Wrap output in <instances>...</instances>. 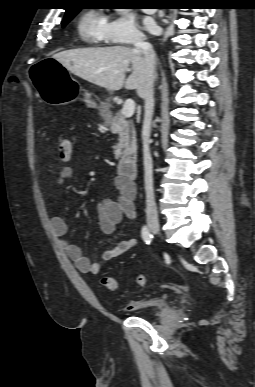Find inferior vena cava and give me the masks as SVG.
Wrapping results in <instances>:
<instances>
[{"label":"inferior vena cava","mask_w":255,"mask_h":387,"mask_svg":"<svg viewBox=\"0 0 255 387\" xmlns=\"http://www.w3.org/2000/svg\"><path fill=\"white\" fill-rule=\"evenodd\" d=\"M135 49L144 57L145 85L138 91V95L144 99V121H143V157H144V182L146 192V216L148 222H158L157 207L153 189V162L150 154V131L154 112V81L155 75V53L152 45L144 38H136Z\"/></svg>","instance_id":"inferior-vena-cava-1"}]
</instances>
